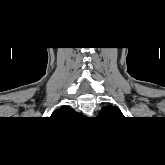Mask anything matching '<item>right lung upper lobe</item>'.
<instances>
[{
	"mask_svg": "<svg viewBox=\"0 0 165 165\" xmlns=\"http://www.w3.org/2000/svg\"><path fill=\"white\" fill-rule=\"evenodd\" d=\"M75 111L70 108V107H66V106H62L61 108L55 110L51 117L52 118H63V117H66V116H70L72 114H74Z\"/></svg>",
	"mask_w": 165,
	"mask_h": 165,
	"instance_id": "obj_1",
	"label": "right lung upper lobe"
}]
</instances>
